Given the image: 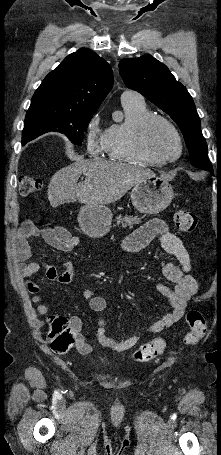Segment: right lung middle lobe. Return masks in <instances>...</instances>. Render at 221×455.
I'll return each mask as SVG.
<instances>
[{"label":"right lung middle lobe","instance_id":"right-lung-middle-lobe-1","mask_svg":"<svg viewBox=\"0 0 221 455\" xmlns=\"http://www.w3.org/2000/svg\"><path fill=\"white\" fill-rule=\"evenodd\" d=\"M95 111H73L51 106H30L25 116L22 145L49 131L65 134L73 144L82 143Z\"/></svg>","mask_w":221,"mask_h":455}]
</instances>
